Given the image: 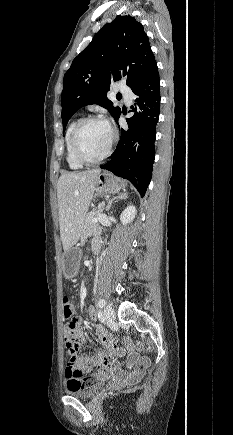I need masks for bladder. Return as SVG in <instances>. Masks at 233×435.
<instances>
[{
  "instance_id": "obj_1",
  "label": "bladder",
  "mask_w": 233,
  "mask_h": 435,
  "mask_svg": "<svg viewBox=\"0 0 233 435\" xmlns=\"http://www.w3.org/2000/svg\"><path fill=\"white\" fill-rule=\"evenodd\" d=\"M103 385L102 381H97L87 385L86 387L77 388L74 384L68 383L66 385V393L69 396L79 397V398H91L96 390Z\"/></svg>"
}]
</instances>
